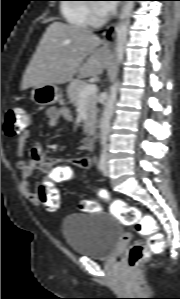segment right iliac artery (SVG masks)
Returning a JSON list of instances; mask_svg holds the SVG:
<instances>
[{
	"instance_id": "right-iliac-artery-1",
	"label": "right iliac artery",
	"mask_w": 180,
	"mask_h": 299,
	"mask_svg": "<svg viewBox=\"0 0 180 299\" xmlns=\"http://www.w3.org/2000/svg\"><path fill=\"white\" fill-rule=\"evenodd\" d=\"M105 165H106V153L105 151H102L99 164H98L99 170L103 171L105 169Z\"/></svg>"
}]
</instances>
